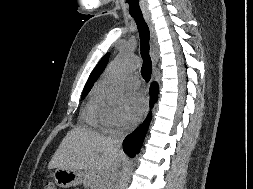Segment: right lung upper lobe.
I'll return each instance as SVG.
<instances>
[{"mask_svg": "<svg viewBox=\"0 0 253 189\" xmlns=\"http://www.w3.org/2000/svg\"><path fill=\"white\" fill-rule=\"evenodd\" d=\"M109 59V53L103 56V58L100 60V62L97 64V66L94 68L92 73L89 76V79L84 87V90H89L92 88L94 82L98 79L100 74L104 71ZM83 90V91H84Z\"/></svg>", "mask_w": 253, "mask_h": 189, "instance_id": "cb5924a9", "label": "right lung upper lobe"}]
</instances>
